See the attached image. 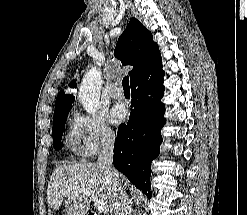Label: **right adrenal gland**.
<instances>
[{
    "label": "right adrenal gland",
    "instance_id": "obj_1",
    "mask_svg": "<svg viewBox=\"0 0 247 215\" xmlns=\"http://www.w3.org/2000/svg\"><path fill=\"white\" fill-rule=\"evenodd\" d=\"M132 204H133V202H132V200L130 199V200H129V206H128V214H129V215H131V214H132V211H133V209H132Z\"/></svg>",
    "mask_w": 247,
    "mask_h": 215
}]
</instances>
